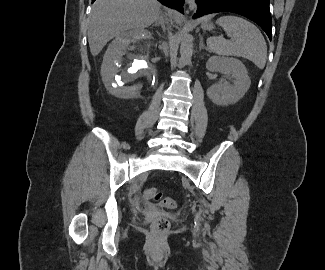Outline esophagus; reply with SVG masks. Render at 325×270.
<instances>
[{
    "label": "esophagus",
    "mask_w": 325,
    "mask_h": 270,
    "mask_svg": "<svg viewBox=\"0 0 325 270\" xmlns=\"http://www.w3.org/2000/svg\"><path fill=\"white\" fill-rule=\"evenodd\" d=\"M186 3L188 4L190 9H194L195 8V0H185Z\"/></svg>",
    "instance_id": "esophagus-1"
}]
</instances>
